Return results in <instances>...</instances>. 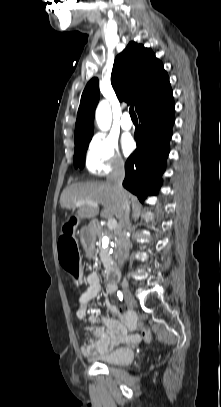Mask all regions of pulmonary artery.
<instances>
[{
    "label": "pulmonary artery",
    "mask_w": 221,
    "mask_h": 407,
    "mask_svg": "<svg viewBox=\"0 0 221 407\" xmlns=\"http://www.w3.org/2000/svg\"><path fill=\"white\" fill-rule=\"evenodd\" d=\"M120 125L124 130H130L133 127V123L128 112L123 113Z\"/></svg>",
    "instance_id": "obj_1"
}]
</instances>
